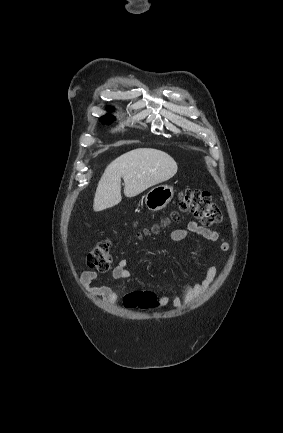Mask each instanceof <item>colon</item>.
<instances>
[{"instance_id":"colon-1","label":"colon","mask_w":283,"mask_h":433,"mask_svg":"<svg viewBox=\"0 0 283 433\" xmlns=\"http://www.w3.org/2000/svg\"><path fill=\"white\" fill-rule=\"evenodd\" d=\"M190 213L203 225L213 226L224 222V216L211 195L196 188H186L178 195V207L172 211L164 224L177 221L180 213ZM157 231L158 227H153ZM147 234V231L144 232ZM112 242L110 238L99 241L87 254V265L98 271H107L112 266ZM124 304L127 308L153 309L159 306L156 295L149 291H136L125 296Z\"/></svg>"}]
</instances>
